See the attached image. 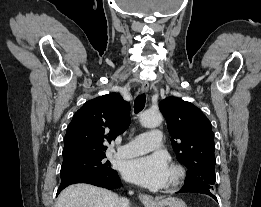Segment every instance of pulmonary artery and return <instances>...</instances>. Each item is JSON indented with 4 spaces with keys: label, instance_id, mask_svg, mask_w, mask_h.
Returning <instances> with one entry per match:
<instances>
[{
    "label": "pulmonary artery",
    "instance_id": "pulmonary-artery-1",
    "mask_svg": "<svg viewBox=\"0 0 261 207\" xmlns=\"http://www.w3.org/2000/svg\"><path fill=\"white\" fill-rule=\"evenodd\" d=\"M162 133L152 130L138 135L132 141L118 148L117 156L130 158L142 155L161 146Z\"/></svg>",
    "mask_w": 261,
    "mask_h": 207
}]
</instances>
